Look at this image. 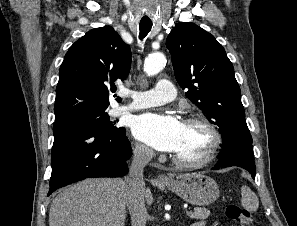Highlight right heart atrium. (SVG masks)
Instances as JSON below:
<instances>
[{"instance_id": "1", "label": "right heart atrium", "mask_w": 297, "mask_h": 226, "mask_svg": "<svg viewBox=\"0 0 297 226\" xmlns=\"http://www.w3.org/2000/svg\"><path fill=\"white\" fill-rule=\"evenodd\" d=\"M134 154L140 160H147L151 157L152 151L142 144H135Z\"/></svg>"}]
</instances>
